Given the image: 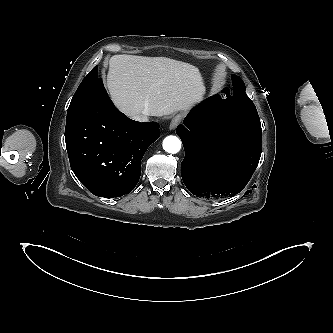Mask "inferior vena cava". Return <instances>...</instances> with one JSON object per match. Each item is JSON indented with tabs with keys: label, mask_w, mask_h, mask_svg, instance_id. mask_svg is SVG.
Segmentation results:
<instances>
[{
	"label": "inferior vena cava",
	"mask_w": 333,
	"mask_h": 333,
	"mask_svg": "<svg viewBox=\"0 0 333 333\" xmlns=\"http://www.w3.org/2000/svg\"><path fill=\"white\" fill-rule=\"evenodd\" d=\"M148 116L149 114L147 112H143L142 114L135 115L132 118L136 121L146 122L148 121Z\"/></svg>",
	"instance_id": "1"
}]
</instances>
